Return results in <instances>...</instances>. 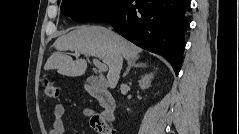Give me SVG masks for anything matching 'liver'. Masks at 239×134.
Here are the masks:
<instances>
[{
	"label": "liver",
	"mask_w": 239,
	"mask_h": 134,
	"mask_svg": "<svg viewBox=\"0 0 239 134\" xmlns=\"http://www.w3.org/2000/svg\"><path fill=\"white\" fill-rule=\"evenodd\" d=\"M53 46L57 52L48 58L45 70L56 69L59 74L69 77L81 76L87 69L86 60H73L63 51L98 57L109 67L107 80L110 88H115L118 83L123 60H137L142 52L141 48L103 26L77 27L57 38Z\"/></svg>",
	"instance_id": "6515ba94"
}]
</instances>
